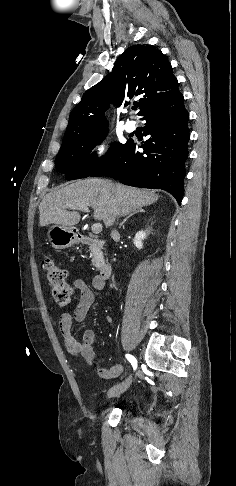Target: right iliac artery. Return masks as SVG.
I'll use <instances>...</instances> for the list:
<instances>
[{
    "label": "right iliac artery",
    "mask_w": 236,
    "mask_h": 486,
    "mask_svg": "<svg viewBox=\"0 0 236 486\" xmlns=\"http://www.w3.org/2000/svg\"><path fill=\"white\" fill-rule=\"evenodd\" d=\"M126 358L131 363V365L133 366V368L135 370L137 368V361H136L135 357L130 355V354H126Z\"/></svg>",
    "instance_id": "82829eb1"
}]
</instances>
